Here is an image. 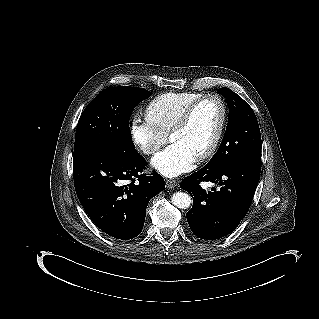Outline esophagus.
Masks as SVG:
<instances>
[{
    "mask_svg": "<svg viewBox=\"0 0 319 319\" xmlns=\"http://www.w3.org/2000/svg\"><path fill=\"white\" fill-rule=\"evenodd\" d=\"M166 185L168 188H172L173 185H175V180H173V179L167 180Z\"/></svg>",
    "mask_w": 319,
    "mask_h": 319,
    "instance_id": "esophagus-1",
    "label": "esophagus"
}]
</instances>
